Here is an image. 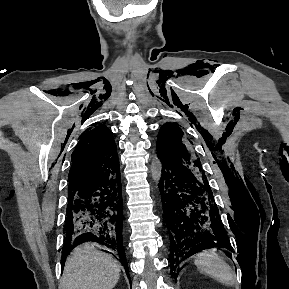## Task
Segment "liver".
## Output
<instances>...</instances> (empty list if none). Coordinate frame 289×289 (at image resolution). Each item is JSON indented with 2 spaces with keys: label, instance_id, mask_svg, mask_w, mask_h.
<instances>
[{
  "label": "liver",
  "instance_id": "obj_1",
  "mask_svg": "<svg viewBox=\"0 0 289 289\" xmlns=\"http://www.w3.org/2000/svg\"><path fill=\"white\" fill-rule=\"evenodd\" d=\"M121 267L111 255L98 251L93 244L76 247L66 260L61 289H112Z\"/></svg>",
  "mask_w": 289,
  "mask_h": 289
}]
</instances>
